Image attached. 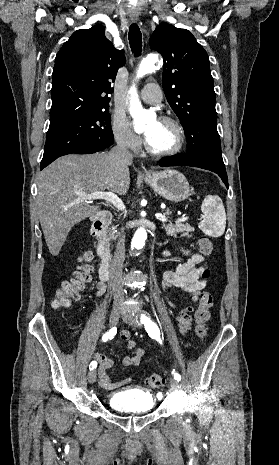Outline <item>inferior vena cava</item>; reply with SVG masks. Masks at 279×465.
I'll return each instance as SVG.
<instances>
[{
	"instance_id": "obj_1",
	"label": "inferior vena cava",
	"mask_w": 279,
	"mask_h": 465,
	"mask_svg": "<svg viewBox=\"0 0 279 465\" xmlns=\"http://www.w3.org/2000/svg\"><path fill=\"white\" fill-rule=\"evenodd\" d=\"M111 158L119 161L131 162L132 154L122 140L117 141V145L108 153ZM125 259V240L123 230L119 235L116 250L110 264V277L112 280V292L115 302L123 300V289L121 285L122 269Z\"/></svg>"
}]
</instances>
